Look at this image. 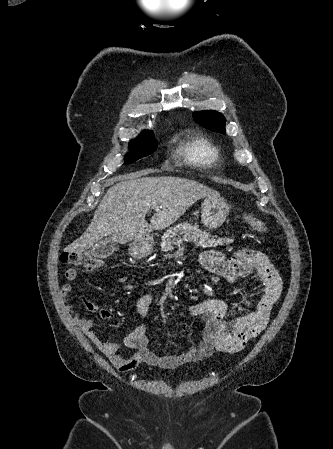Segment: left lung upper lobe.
Segmentation results:
<instances>
[{"instance_id": "left-lung-upper-lobe-1", "label": "left lung upper lobe", "mask_w": 333, "mask_h": 449, "mask_svg": "<svg viewBox=\"0 0 333 449\" xmlns=\"http://www.w3.org/2000/svg\"><path fill=\"white\" fill-rule=\"evenodd\" d=\"M194 119L215 132L225 133L224 116L216 111H202L193 114Z\"/></svg>"}]
</instances>
